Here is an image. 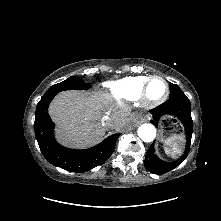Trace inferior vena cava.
I'll return each mask as SVG.
<instances>
[{
  "mask_svg": "<svg viewBox=\"0 0 221 221\" xmlns=\"http://www.w3.org/2000/svg\"><path fill=\"white\" fill-rule=\"evenodd\" d=\"M102 126L111 127L113 125V119L107 115H104L101 119Z\"/></svg>",
  "mask_w": 221,
  "mask_h": 221,
  "instance_id": "1",
  "label": "inferior vena cava"
}]
</instances>
